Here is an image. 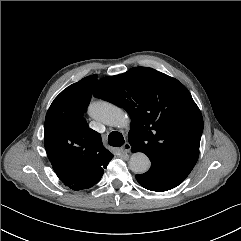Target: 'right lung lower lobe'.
I'll list each match as a JSON object with an SVG mask.
<instances>
[{"label":"right lung lower lobe","instance_id":"98d812e1","mask_svg":"<svg viewBox=\"0 0 241 241\" xmlns=\"http://www.w3.org/2000/svg\"><path fill=\"white\" fill-rule=\"evenodd\" d=\"M58 178L73 190L91 188L101 179L104 168H94L73 164L53 165Z\"/></svg>","mask_w":241,"mask_h":241}]
</instances>
